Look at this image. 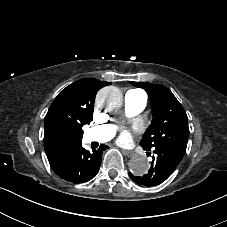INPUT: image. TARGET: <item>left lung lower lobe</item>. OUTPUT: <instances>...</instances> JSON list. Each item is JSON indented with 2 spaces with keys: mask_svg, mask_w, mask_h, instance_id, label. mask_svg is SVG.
<instances>
[{
  "mask_svg": "<svg viewBox=\"0 0 227 227\" xmlns=\"http://www.w3.org/2000/svg\"><path fill=\"white\" fill-rule=\"evenodd\" d=\"M150 151V150H147ZM155 156L147 174L136 177L129 173V176L138 184L144 186H155L166 180L175 170L183 156L172 153L167 149H155Z\"/></svg>",
  "mask_w": 227,
  "mask_h": 227,
  "instance_id": "0a47b994",
  "label": "left lung lower lobe"
}]
</instances>
